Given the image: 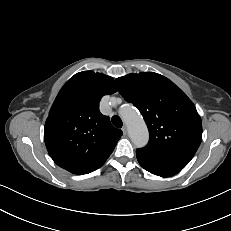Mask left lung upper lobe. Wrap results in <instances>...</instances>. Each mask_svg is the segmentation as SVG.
<instances>
[{
  "label": "left lung upper lobe",
  "mask_w": 231,
  "mask_h": 231,
  "mask_svg": "<svg viewBox=\"0 0 231 231\" xmlns=\"http://www.w3.org/2000/svg\"><path fill=\"white\" fill-rule=\"evenodd\" d=\"M119 93L137 107L149 130V144L136 155L151 162L183 169L202 140V122L193 102L168 78L154 73L116 79Z\"/></svg>",
  "instance_id": "left-lung-upper-lobe-1"
}]
</instances>
